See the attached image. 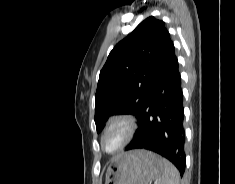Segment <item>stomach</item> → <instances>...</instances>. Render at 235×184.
<instances>
[{"mask_svg":"<svg viewBox=\"0 0 235 184\" xmlns=\"http://www.w3.org/2000/svg\"><path fill=\"white\" fill-rule=\"evenodd\" d=\"M162 158L148 150H130L111 162L105 184H149L159 180Z\"/></svg>","mask_w":235,"mask_h":184,"instance_id":"0dacf381","label":"stomach"}]
</instances>
